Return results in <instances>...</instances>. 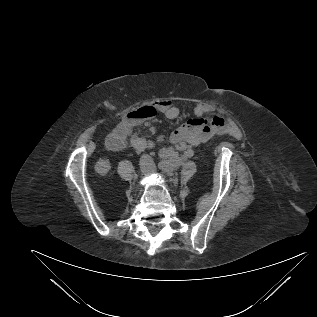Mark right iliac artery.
I'll use <instances>...</instances> for the list:
<instances>
[{
	"mask_svg": "<svg viewBox=\"0 0 317 317\" xmlns=\"http://www.w3.org/2000/svg\"><path fill=\"white\" fill-rule=\"evenodd\" d=\"M158 167H159L160 169H164V168L166 167V164L163 163V162H160V163L158 164Z\"/></svg>",
	"mask_w": 317,
	"mask_h": 317,
	"instance_id": "right-iliac-artery-1",
	"label": "right iliac artery"
}]
</instances>
